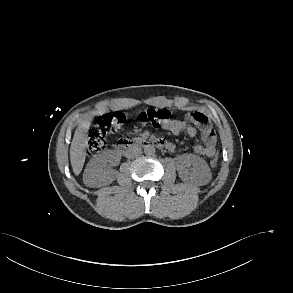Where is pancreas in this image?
Returning <instances> with one entry per match:
<instances>
[{
  "mask_svg": "<svg viewBox=\"0 0 293 293\" xmlns=\"http://www.w3.org/2000/svg\"><path fill=\"white\" fill-rule=\"evenodd\" d=\"M135 140H136L137 142H141V141L144 140V137L135 138Z\"/></svg>",
  "mask_w": 293,
  "mask_h": 293,
  "instance_id": "pancreas-1",
  "label": "pancreas"
}]
</instances>
